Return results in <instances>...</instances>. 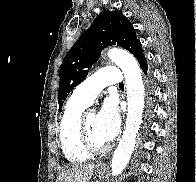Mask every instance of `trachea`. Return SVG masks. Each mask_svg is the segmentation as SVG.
<instances>
[{"label":"trachea","instance_id":"1","mask_svg":"<svg viewBox=\"0 0 196 182\" xmlns=\"http://www.w3.org/2000/svg\"><path fill=\"white\" fill-rule=\"evenodd\" d=\"M119 86H120V87H123V86H124V84H123V83H120V84H119Z\"/></svg>","mask_w":196,"mask_h":182}]
</instances>
